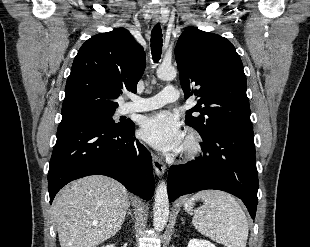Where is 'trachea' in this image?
Masks as SVG:
<instances>
[{
  "label": "trachea",
  "mask_w": 310,
  "mask_h": 247,
  "mask_svg": "<svg viewBox=\"0 0 310 247\" xmlns=\"http://www.w3.org/2000/svg\"><path fill=\"white\" fill-rule=\"evenodd\" d=\"M162 29L159 24L155 25L151 32V54L155 62L159 61L162 54Z\"/></svg>",
  "instance_id": "1"
}]
</instances>
